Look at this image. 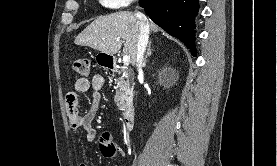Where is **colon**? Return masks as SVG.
<instances>
[{"instance_id": "5ec220e1", "label": "colon", "mask_w": 277, "mask_h": 166, "mask_svg": "<svg viewBox=\"0 0 277 166\" xmlns=\"http://www.w3.org/2000/svg\"><path fill=\"white\" fill-rule=\"evenodd\" d=\"M74 70L81 76H87L90 70V62L87 58L80 57L73 62Z\"/></svg>"}]
</instances>
